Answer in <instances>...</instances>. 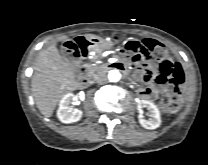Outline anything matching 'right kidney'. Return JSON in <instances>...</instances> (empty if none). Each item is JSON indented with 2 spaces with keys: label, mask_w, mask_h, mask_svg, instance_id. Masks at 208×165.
I'll return each mask as SVG.
<instances>
[{
  "label": "right kidney",
  "mask_w": 208,
  "mask_h": 165,
  "mask_svg": "<svg viewBox=\"0 0 208 165\" xmlns=\"http://www.w3.org/2000/svg\"><path fill=\"white\" fill-rule=\"evenodd\" d=\"M74 94H66L59 103L57 117L62 123H73L81 119L83 112L71 106Z\"/></svg>",
  "instance_id": "obj_1"
}]
</instances>
